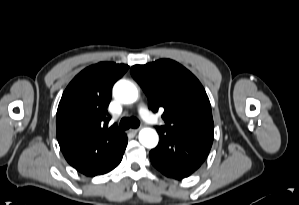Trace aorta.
Instances as JSON below:
<instances>
[{
    "label": "aorta",
    "instance_id": "aorta-1",
    "mask_svg": "<svg viewBox=\"0 0 299 205\" xmlns=\"http://www.w3.org/2000/svg\"><path fill=\"white\" fill-rule=\"evenodd\" d=\"M114 96L122 103L131 104L138 98L136 86L127 80L118 81L113 88ZM158 134L152 128H143L139 132V141L146 148H154L158 144Z\"/></svg>",
    "mask_w": 299,
    "mask_h": 205
}]
</instances>
